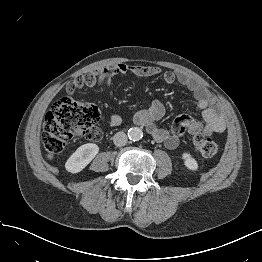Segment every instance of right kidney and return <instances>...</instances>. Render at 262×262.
<instances>
[{
    "mask_svg": "<svg viewBox=\"0 0 262 262\" xmlns=\"http://www.w3.org/2000/svg\"><path fill=\"white\" fill-rule=\"evenodd\" d=\"M98 152L99 147L96 144L88 143L80 146L66 161V170L71 173L82 171Z\"/></svg>",
    "mask_w": 262,
    "mask_h": 262,
    "instance_id": "obj_1",
    "label": "right kidney"
}]
</instances>
